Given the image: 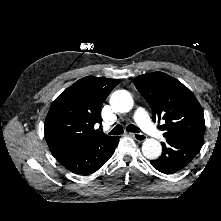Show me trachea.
<instances>
[{
  "label": "trachea",
  "instance_id": "3493384b",
  "mask_svg": "<svg viewBox=\"0 0 221 221\" xmlns=\"http://www.w3.org/2000/svg\"><path fill=\"white\" fill-rule=\"evenodd\" d=\"M126 130L128 132H133V133H139V130L138 128L133 125V124H129L127 127H126ZM123 133V127L121 125H117L115 126L112 131L109 133L111 135H120Z\"/></svg>",
  "mask_w": 221,
  "mask_h": 221
}]
</instances>
